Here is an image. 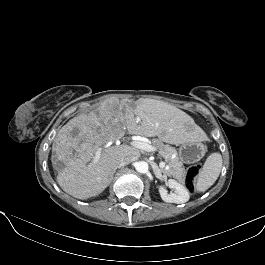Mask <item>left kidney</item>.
<instances>
[{"mask_svg": "<svg viewBox=\"0 0 265 265\" xmlns=\"http://www.w3.org/2000/svg\"><path fill=\"white\" fill-rule=\"evenodd\" d=\"M168 186L174 190V192L168 193L163 187L159 188V193L163 201L168 203H185L189 200L190 194L188 189L182 184L178 183L173 179H169L167 182Z\"/></svg>", "mask_w": 265, "mask_h": 265, "instance_id": "1", "label": "left kidney"}]
</instances>
